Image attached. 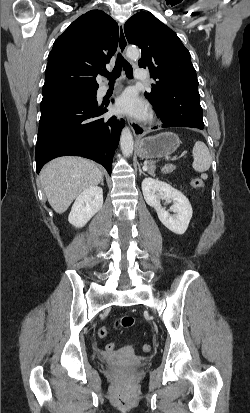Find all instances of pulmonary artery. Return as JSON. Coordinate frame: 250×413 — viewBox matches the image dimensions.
<instances>
[{
    "label": "pulmonary artery",
    "mask_w": 250,
    "mask_h": 413,
    "mask_svg": "<svg viewBox=\"0 0 250 413\" xmlns=\"http://www.w3.org/2000/svg\"><path fill=\"white\" fill-rule=\"evenodd\" d=\"M135 77L138 80L145 81L147 79V73L144 69L137 68L135 70ZM108 89H109L108 85H103L100 90H101L102 93H105V92L108 91Z\"/></svg>",
    "instance_id": "pulmonary-artery-1"
}]
</instances>
